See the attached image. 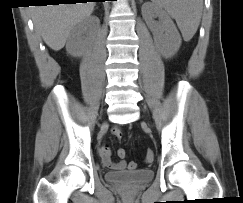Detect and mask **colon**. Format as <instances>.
Returning <instances> with one entry per match:
<instances>
[{
  "label": "colon",
  "mask_w": 243,
  "mask_h": 203,
  "mask_svg": "<svg viewBox=\"0 0 243 203\" xmlns=\"http://www.w3.org/2000/svg\"><path fill=\"white\" fill-rule=\"evenodd\" d=\"M119 154H120L121 156H125V155H126V152H125L124 149H120V150H119ZM153 160H154V153H153L152 151H147V153H146V155H145V161L148 162V163H150V162H152ZM129 168H130V169H135V168H136V163L131 162V163L129 164Z\"/></svg>",
  "instance_id": "1"
}]
</instances>
